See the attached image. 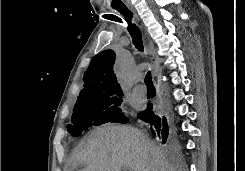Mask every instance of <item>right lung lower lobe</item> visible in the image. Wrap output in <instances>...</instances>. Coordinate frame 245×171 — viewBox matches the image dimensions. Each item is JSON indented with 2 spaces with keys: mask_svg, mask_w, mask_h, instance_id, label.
I'll list each match as a JSON object with an SVG mask.
<instances>
[{
  "mask_svg": "<svg viewBox=\"0 0 245 171\" xmlns=\"http://www.w3.org/2000/svg\"><path fill=\"white\" fill-rule=\"evenodd\" d=\"M152 108V104H148L147 108L139 112L137 117L148 124L154 137L161 143L172 144L174 133L171 116L167 112H154Z\"/></svg>",
  "mask_w": 245,
  "mask_h": 171,
  "instance_id": "98d812e1",
  "label": "right lung lower lobe"
}]
</instances>
